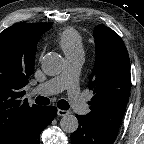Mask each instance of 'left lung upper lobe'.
I'll use <instances>...</instances> for the list:
<instances>
[{
    "instance_id": "5c2ea615",
    "label": "left lung upper lobe",
    "mask_w": 144,
    "mask_h": 144,
    "mask_svg": "<svg viewBox=\"0 0 144 144\" xmlns=\"http://www.w3.org/2000/svg\"><path fill=\"white\" fill-rule=\"evenodd\" d=\"M96 61L89 78L94 96L85 117L96 126L118 133L128 102L130 60L121 37L100 24L94 29Z\"/></svg>"
}]
</instances>
